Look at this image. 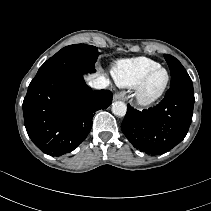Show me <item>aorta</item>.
I'll return each instance as SVG.
<instances>
[{
  "label": "aorta",
  "mask_w": 211,
  "mask_h": 211,
  "mask_svg": "<svg viewBox=\"0 0 211 211\" xmlns=\"http://www.w3.org/2000/svg\"><path fill=\"white\" fill-rule=\"evenodd\" d=\"M126 111H127V106L124 102L116 101L112 104V112L114 115L123 117L125 116Z\"/></svg>",
  "instance_id": "762f6f07"
}]
</instances>
